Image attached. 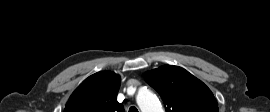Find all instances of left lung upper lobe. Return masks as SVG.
<instances>
[{
  "label": "left lung upper lobe",
  "mask_w": 270,
  "mask_h": 112,
  "mask_svg": "<svg viewBox=\"0 0 270 112\" xmlns=\"http://www.w3.org/2000/svg\"><path fill=\"white\" fill-rule=\"evenodd\" d=\"M144 77L160 94L166 112H219L210 89L181 67L165 65L146 72Z\"/></svg>",
  "instance_id": "left-lung-upper-lobe-1"
}]
</instances>
